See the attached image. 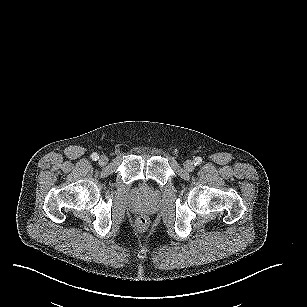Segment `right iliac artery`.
<instances>
[{
	"instance_id": "right-iliac-artery-1",
	"label": "right iliac artery",
	"mask_w": 307,
	"mask_h": 307,
	"mask_svg": "<svg viewBox=\"0 0 307 307\" xmlns=\"http://www.w3.org/2000/svg\"><path fill=\"white\" fill-rule=\"evenodd\" d=\"M91 158H92V160L97 161V160L99 159V156H98L97 153H93V154L91 155Z\"/></svg>"
}]
</instances>
